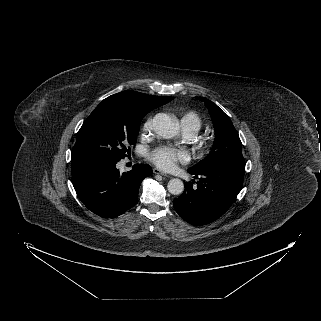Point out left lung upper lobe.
I'll list each match as a JSON object with an SVG mask.
<instances>
[{
	"mask_svg": "<svg viewBox=\"0 0 321 321\" xmlns=\"http://www.w3.org/2000/svg\"><path fill=\"white\" fill-rule=\"evenodd\" d=\"M197 98L205 102L216 136L211 152L188 171L197 172L225 163H244L242 143L230 118L212 101L203 97Z\"/></svg>",
	"mask_w": 321,
	"mask_h": 321,
	"instance_id": "obj_1",
	"label": "left lung upper lobe"
}]
</instances>
